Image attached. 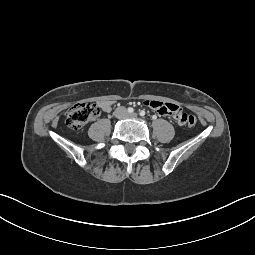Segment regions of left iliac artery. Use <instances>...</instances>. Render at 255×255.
Here are the masks:
<instances>
[{
	"label": "left iliac artery",
	"instance_id": "obj_1",
	"mask_svg": "<svg viewBox=\"0 0 255 255\" xmlns=\"http://www.w3.org/2000/svg\"><path fill=\"white\" fill-rule=\"evenodd\" d=\"M139 114H140V116H144L146 114V112L144 110H141Z\"/></svg>",
	"mask_w": 255,
	"mask_h": 255
}]
</instances>
